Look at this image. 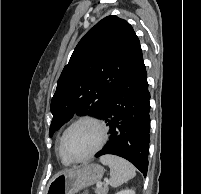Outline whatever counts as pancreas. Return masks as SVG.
<instances>
[{
	"label": "pancreas",
	"mask_w": 201,
	"mask_h": 194,
	"mask_svg": "<svg viewBox=\"0 0 201 194\" xmlns=\"http://www.w3.org/2000/svg\"><path fill=\"white\" fill-rule=\"evenodd\" d=\"M108 192V187L105 185L101 188H97L95 191V194H107Z\"/></svg>",
	"instance_id": "1"
}]
</instances>
